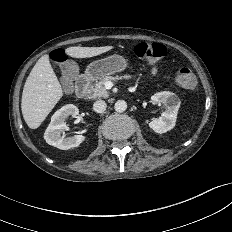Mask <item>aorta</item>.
<instances>
[{"mask_svg": "<svg viewBox=\"0 0 232 232\" xmlns=\"http://www.w3.org/2000/svg\"><path fill=\"white\" fill-rule=\"evenodd\" d=\"M114 108H115V111L122 113L127 109V103L124 100H118L115 103Z\"/></svg>", "mask_w": 232, "mask_h": 232, "instance_id": "762f6f07", "label": "aorta"}]
</instances>
